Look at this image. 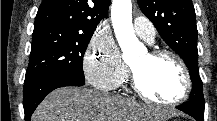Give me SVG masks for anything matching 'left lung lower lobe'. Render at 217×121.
<instances>
[{"mask_svg":"<svg viewBox=\"0 0 217 121\" xmlns=\"http://www.w3.org/2000/svg\"><path fill=\"white\" fill-rule=\"evenodd\" d=\"M177 109L183 111L186 114H189L190 116L194 117L197 121H203L204 117L198 115L194 105L192 104L191 101L186 102L182 105H179L176 107Z\"/></svg>","mask_w":217,"mask_h":121,"instance_id":"1","label":"left lung lower lobe"}]
</instances>
